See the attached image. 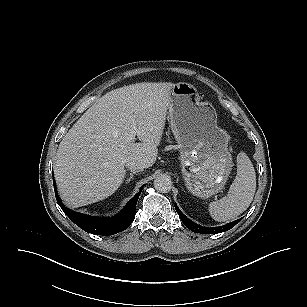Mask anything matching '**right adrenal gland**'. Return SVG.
Returning <instances> with one entry per match:
<instances>
[{
	"label": "right adrenal gland",
	"instance_id": "1",
	"mask_svg": "<svg viewBox=\"0 0 307 307\" xmlns=\"http://www.w3.org/2000/svg\"><path fill=\"white\" fill-rule=\"evenodd\" d=\"M138 172L133 171L132 173H130V177L126 180V184L130 183V181L133 179L134 174H136Z\"/></svg>",
	"mask_w": 307,
	"mask_h": 307
}]
</instances>
